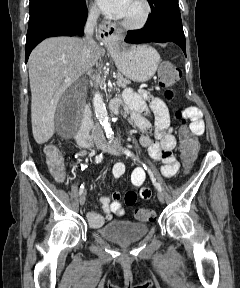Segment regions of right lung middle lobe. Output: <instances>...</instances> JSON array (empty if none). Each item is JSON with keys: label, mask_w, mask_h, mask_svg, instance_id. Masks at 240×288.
<instances>
[{"label": "right lung middle lobe", "mask_w": 240, "mask_h": 288, "mask_svg": "<svg viewBox=\"0 0 240 288\" xmlns=\"http://www.w3.org/2000/svg\"><path fill=\"white\" fill-rule=\"evenodd\" d=\"M83 0H30V19L54 6H77Z\"/></svg>", "instance_id": "1"}]
</instances>
